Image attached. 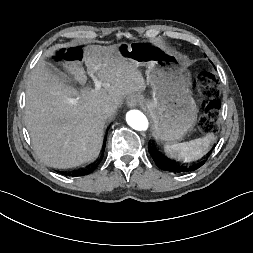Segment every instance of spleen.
<instances>
[{
	"label": "spleen",
	"instance_id": "1",
	"mask_svg": "<svg viewBox=\"0 0 253 253\" xmlns=\"http://www.w3.org/2000/svg\"><path fill=\"white\" fill-rule=\"evenodd\" d=\"M214 139V135L209 133L203 138L194 139L189 142L166 144L164 146V151L172 158H177L186 162L194 161L203 157L209 151Z\"/></svg>",
	"mask_w": 253,
	"mask_h": 253
}]
</instances>
